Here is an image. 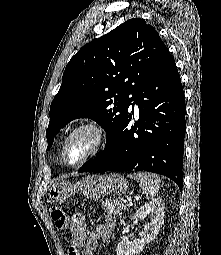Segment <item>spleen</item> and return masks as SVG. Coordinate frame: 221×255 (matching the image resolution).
Listing matches in <instances>:
<instances>
[{"label": "spleen", "mask_w": 221, "mask_h": 255, "mask_svg": "<svg viewBox=\"0 0 221 255\" xmlns=\"http://www.w3.org/2000/svg\"><path fill=\"white\" fill-rule=\"evenodd\" d=\"M128 176L139 183L140 187L144 190L147 199L154 198L159 191L161 180L157 174L135 172Z\"/></svg>", "instance_id": "obj_1"}]
</instances>
